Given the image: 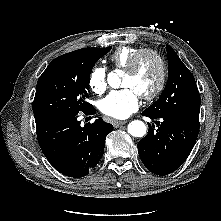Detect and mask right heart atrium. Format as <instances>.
Listing matches in <instances>:
<instances>
[{"mask_svg":"<svg viewBox=\"0 0 221 221\" xmlns=\"http://www.w3.org/2000/svg\"><path fill=\"white\" fill-rule=\"evenodd\" d=\"M106 69L102 66H96L92 69L88 77L89 88L96 94H101L107 87Z\"/></svg>","mask_w":221,"mask_h":221,"instance_id":"d8ad5b80","label":"right heart atrium"}]
</instances>
